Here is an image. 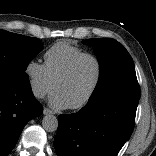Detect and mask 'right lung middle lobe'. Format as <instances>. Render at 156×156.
Wrapping results in <instances>:
<instances>
[{
	"label": "right lung middle lobe",
	"mask_w": 156,
	"mask_h": 156,
	"mask_svg": "<svg viewBox=\"0 0 156 156\" xmlns=\"http://www.w3.org/2000/svg\"><path fill=\"white\" fill-rule=\"evenodd\" d=\"M42 50V42L20 34L0 30V79L29 83L26 69Z\"/></svg>",
	"instance_id": "right-lung-middle-lobe-1"
}]
</instances>
